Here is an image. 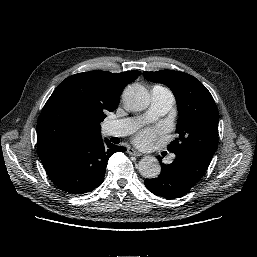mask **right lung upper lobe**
Masks as SVG:
<instances>
[{"label":"right lung upper lobe","mask_w":257,"mask_h":257,"mask_svg":"<svg viewBox=\"0 0 257 257\" xmlns=\"http://www.w3.org/2000/svg\"><path fill=\"white\" fill-rule=\"evenodd\" d=\"M140 71H91L66 78L44 105L37 122L38 155L61 146L101 138L100 123L119 104L123 88Z\"/></svg>","instance_id":"1"}]
</instances>
